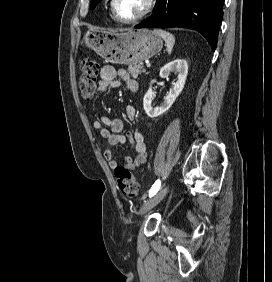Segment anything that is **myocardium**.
Returning <instances> with one entry per match:
<instances>
[{"mask_svg": "<svg viewBox=\"0 0 272 282\" xmlns=\"http://www.w3.org/2000/svg\"><path fill=\"white\" fill-rule=\"evenodd\" d=\"M116 3H117V0H111V2H110V8H111V11H112L114 18L116 20H118L119 22L126 23V24H132V23H136V22L142 20L147 15H149V13L153 10V8L155 6L156 0H148L145 10L143 12H141L139 15H137L133 18H130V19H124L121 16H119V14L117 13V10H116Z\"/></svg>", "mask_w": 272, "mask_h": 282, "instance_id": "f54148a6", "label": "myocardium"}]
</instances>
